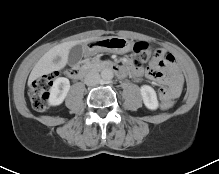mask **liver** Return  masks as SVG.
<instances>
[{"label":"liver","mask_w":219,"mask_h":174,"mask_svg":"<svg viewBox=\"0 0 219 174\" xmlns=\"http://www.w3.org/2000/svg\"><path fill=\"white\" fill-rule=\"evenodd\" d=\"M97 38H90L84 40L70 41L66 43L59 44L53 48H51L48 52H46L36 63L34 68L32 69L28 84L30 85L37 78L50 74L54 71L60 70L64 68L68 62V54L69 50L80 43H85L91 40H95ZM60 57L58 62H55V59Z\"/></svg>","instance_id":"1"}]
</instances>
